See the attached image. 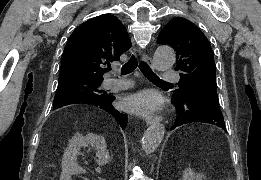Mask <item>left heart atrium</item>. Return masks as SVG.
<instances>
[{
  "label": "left heart atrium",
  "instance_id": "left-heart-atrium-1",
  "mask_svg": "<svg viewBox=\"0 0 261 180\" xmlns=\"http://www.w3.org/2000/svg\"><path fill=\"white\" fill-rule=\"evenodd\" d=\"M123 105L133 113L147 115L160 111L163 99L157 92L146 90L126 96Z\"/></svg>",
  "mask_w": 261,
  "mask_h": 180
}]
</instances>
